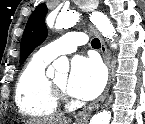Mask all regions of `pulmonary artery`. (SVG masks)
Instances as JSON below:
<instances>
[{"label": "pulmonary artery", "mask_w": 145, "mask_h": 124, "mask_svg": "<svg viewBox=\"0 0 145 124\" xmlns=\"http://www.w3.org/2000/svg\"><path fill=\"white\" fill-rule=\"evenodd\" d=\"M85 41L82 33L70 32L48 45L41 47L38 54L44 59L53 60L61 54L75 52Z\"/></svg>", "instance_id": "e3ab8cb5"}]
</instances>
